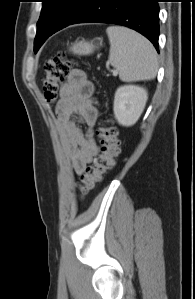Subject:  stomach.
<instances>
[{"label": "stomach", "instance_id": "obj_1", "mask_svg": "<svg viewBox=\"0 0 195 299\" xmlns=\"http://www.w3.org/2000/svg\"><path fill=\"white\" fill-rule=\"evenodd\" d=\"M96 45L93 42L78 41L71 45L69 50L76 55H90L96 50Z\"/></svg>", "mask_w": 195, "mask_h": 299}]
</instances>
